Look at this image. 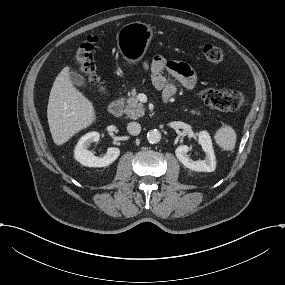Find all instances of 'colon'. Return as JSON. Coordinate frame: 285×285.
<instances>
[{
  "label": "colon",
  "mask_w": 285,
  "mask_h": 285,
  "mask_svg": "<svg viewBox=\"0 0 285 285\" xmlns=\"http://www.w3.org/2000/svg\"><path fill=\"white\" fill-rule=\"evenodd\" d=\"M96 41V38L89 37L77 49L74 60L86 84L92 87L95 92L103 93V87L99 83L93 61V50ZM203 55L212 65H220L226 57L225 51L222 48L209 44L204 46ZM199 96L207 106L223 112L238 111L244 107L246 102L245 96L239 91L217 89L214 87L204 88L200 91Z\"/></svg>",
  "instance_id": "5ec220e1"
}]
</instances>
